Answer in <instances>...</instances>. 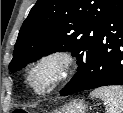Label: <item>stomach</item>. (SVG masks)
I'll return each mask as SVG.
<instances>
[{
  "label": "stomach",
  "mask_w": 123,
  "mask_h": 113,
  "mask_svg": "<svg viewBox=\"0 0 123 113\" xmlns=\"http://www.w3.org/2000/svg\"><path fill=\"white\" fill-rule=\"evenodd\" d=\"M87 105L83 100H73L63 105L61 108L54 111V113H86Z\"/></svg>",
  "instance_id": "0dacf381"
}]
</instances>
